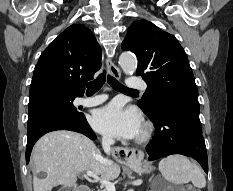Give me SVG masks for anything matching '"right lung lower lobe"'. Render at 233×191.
Segmentation results:
<instances>
[{
  "label": "right lung lower lobe",
  "instance_id": "1",
  "mask_svg": "<svg viewBox=\"0 0 233 191\" xmlns=\"http://www.w3.org/2000/svg\"><path fill=\"white\" fill-rule=\"evenodd\" d=\"M55 130L75 131L86 135L90 139H96L84 114H76L52 106L37 107L28 114L27 164L36 141L44 134Z\"/></svg>",
  "mask_w": 233,
  "mask_h": 191
}]
</instances>
